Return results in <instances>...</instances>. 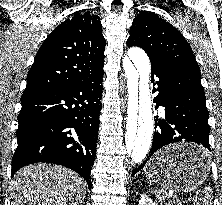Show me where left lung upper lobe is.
Listing matches in <instances>:
<instances>
[{"label":"left lung upper lobe","mask_w":222,"mask_h":205,"mask_svg":"<svg viewBox=\"0 0 222 205\" xmlns=\"http://www.w3.org/2000/svg\"><path fill=\"white\" fill-rule=\"evenodd\" d=\"M127 46L141 47L150 61L179 63L200 73L189 43L175 27L155 13L142 11L135 17Z\"/></svg>","instance_id":"1"}]
</instances>
